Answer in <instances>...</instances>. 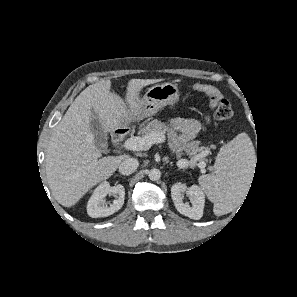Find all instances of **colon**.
<instances>
[{
	"instance_id": "1",
	"label": "colon",
	"mask_w": 297,
	"mask_h": 297,
	"mask_svg": "<svg viewBox=\"0 0 297 297\" xmlns=\"http://www.w3.org/2000/svg\"><path fill=\"white\" fill-rule=\"evenodd\" d=\"M194 90L207 94L209 105L214 111V116L219 121H226L233 117L231 104L223 98L219 91L209 85L196 84Z\"/></svg>"
}]
</instances>
